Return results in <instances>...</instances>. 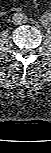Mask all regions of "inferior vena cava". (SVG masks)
<instances>
[{"label": "inferior vena cava", "instance_id": "1", "mask_svg": "<svg viewBox=\"0 0 51 153\" xmlns=\"http://www.w3.org/2000/svg\"><path fill=\"white\" fill-rule=\"evenodd\" d=\"M12 19H13L14 24L22 25L27 22L28 18H27V15L24 13H15Z\"/></svg>", "mask_w": 51, "mask_h": 153}]
</instances>
